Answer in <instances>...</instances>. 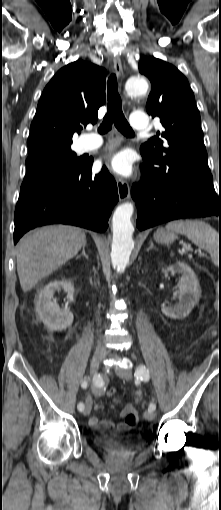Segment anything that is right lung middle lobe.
I'll use <instances>...</instances> for the list:
<instances>
[{
    "label": "right lung middle lobe",
    "instance_id": "dd1d6c3e",
    "mask_svg": "<svg viewBox=\"0 0 221 510\" xmlns=\"http://www.w3.org/2000/svg\"><path fill=\"white\" fill-rule=\"evenodd\" d=\"M84 161L77 158L70 147L47 146L30 151L26 160V176L23 180L19 200L32 189L74 177Z\"/></svg>",
    "mask_w": 221,
    "mask_h": 510
}]
</instances>
